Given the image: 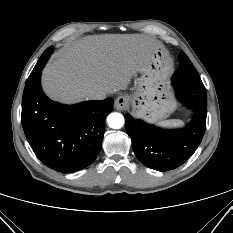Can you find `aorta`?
I'll list each match as a JSON object with an SVG mask.
<instances>
[{
	"instance_id": "obj_1",
	"label": "aorta",
	"mask_w": 233,
	"mask_h": 233,
	"mask_svg": "<svg viewBox=\"0 0 233 233\" xmlns=\"http://www.w3.org/2000/svg\"><path fill=\"white\" fill-rule=\"evenodd\" d=\"M107 122L110 128L120 129L124 124V117L122 114L114 112L108 115Z\"/></svg>"
}]
</instances>
